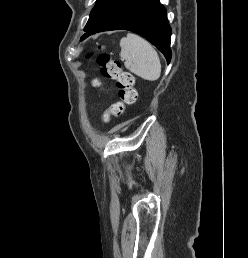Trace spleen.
<instances>
[{
	"instance_id": "spleen-1",
	"label": "spleen",
	"mask_w": 248,
	"mask_h": 258,
	"mask_svg": "<svg viewBox=\"0 0 248 258\" xmlns=\"http://www.w3.org/2000/svg\"><path fill=\"white\" fill-rule=\"evenodd\" d=\"M120 57L125 67L147 81H156L161 74V63L152 45L134 33H128L120 40Z\"/></svg>"
}]
</instances>
